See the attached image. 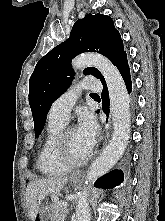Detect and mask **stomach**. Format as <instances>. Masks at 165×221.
I'll return each mask as SVG.
<instances>
[{"label":"stomach","instance_id":"1","mask_svg":"<svg viewBox=\"0 0 165 221\" xmlns=\"http://www.w3.org/2000/svg\"><path fill=\"white\" fill-rule=\"evenodd\" d=\"M79 183L77 178H71L70 184L76 186ZM57 216L54 214L51 204L40 205L34 221H57Z\"/></svg>","mask_w":165,"mask_h":221}]
</instances>
